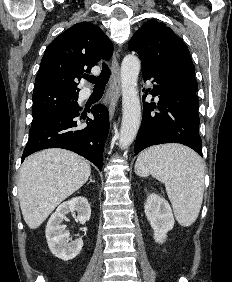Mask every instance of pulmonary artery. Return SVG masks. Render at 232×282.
<instances>
[{
  "mask_svg": "<svg viewBox=\"0 0 232 282\" xmlns=\"http://www.w3.org/2000/svg\"><path fill=\"white\" fill-rule=\"evenodd\" d=\"M89 95V92L88 91H84L83 93H82V96L83 97H87Z\"/></svg>",
  "mask_w": 232,
  "mask_h": 282,
  "instance_id": "e3ab8cb5",
  "label": "pulmonary artery"
}]
</instances>
